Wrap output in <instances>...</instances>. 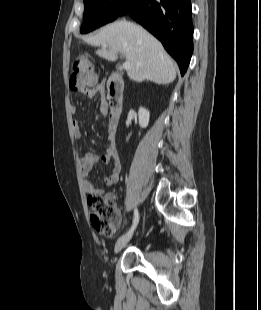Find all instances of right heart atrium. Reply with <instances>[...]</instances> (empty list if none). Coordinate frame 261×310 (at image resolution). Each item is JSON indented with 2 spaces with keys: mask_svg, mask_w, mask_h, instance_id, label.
I'll return each mask as SVG.
<instances>
[{
  "mask_svg": "<svg viewBox=\"0 0 261 310\" xmlns=\"http://www.w3.org/2000/svg\"><path fill=\"white\" fill-rule=\"evenodd\" d=\"M111 2H112L114 5H116V4H118V3L120 2V0H111Z\"/></svg>",
  "mask_w": 261,
  "mask_h": 310,
  "instance_id": "right-heart-atrium-1",
  "label": "right heart atrium"
}]
</instances>
